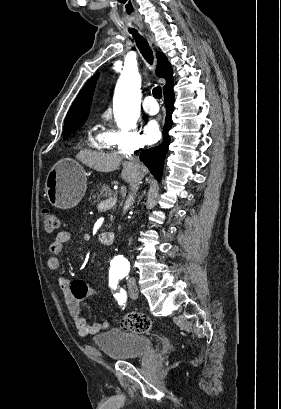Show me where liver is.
I'll return each mask as SVG.
<instances>
[{
    "label": "liver",
    "mask_w": 281,
    "mask_h": 409,
    "mask_svg": "<svg viewBox=\"0 0 281 409\" xmlns=\"http://www.w3.org/2000/svg\"><path fill=\"white\" fill-rule=\"evenodd\" d=\"M76 156L83 164L94 168V170H99V172H111V170H116V168L120 166L123 158L118 152H99V150H80ZM122 164L123 170H121L120 176H122L126 182H130L132 176H134V164L133 162H128V160H124ZM143 170H147V168L143 166Z\"/></svg>",
    "instance_id": "liver-1"
}]
</instances>
